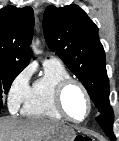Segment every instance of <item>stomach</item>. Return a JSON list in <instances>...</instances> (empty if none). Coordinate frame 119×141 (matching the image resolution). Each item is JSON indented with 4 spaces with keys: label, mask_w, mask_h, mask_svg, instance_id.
Segmentation results:
<instances>
[{
    "label": "stomach",
    "mask_w": 119,
    "mask_h": 141,
    "mask_svg": "<svg viewBox=\"0 0 119 141\" xmlns=\"http://www.w3.org/2000/svg\"><path fill=\"white\" fill-rule=\"evenodd\" d=\"M77 135L75 131L69 127H61L46 136L42 141H74Z\"/></svg>",
    "instance_id": "stomach-1"
}]
</instances>
